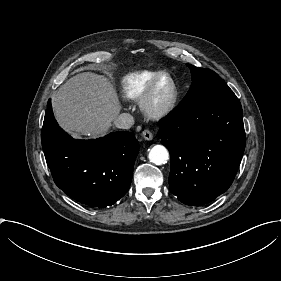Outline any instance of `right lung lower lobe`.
<instances>
[{
	"mask_svg": "<svg viewBox=\"0 0 281 281\" xmlns=\"http://www.w3.org/2000/svg\"><path fill=\"white\" fill-rule=\"evenodd\" d=\"M41 140L54 182L69 197L105 208L128 191L139 152L133 133L113 132L95 140L73 139L58 126L49 99Z\"/></svg>",
	"mask_w": 281,
	"mask_h": 281,
	"instance_id": "98d812e1",
	"label": "right lung lower lobe"
}]
</instances>
